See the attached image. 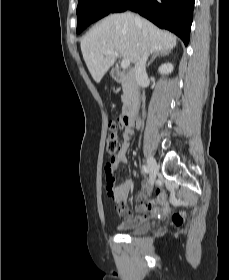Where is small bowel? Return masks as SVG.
<instances>
[{
	"instance_id": "small-bowel-1",
	"label": "small bowel",
	"mask_w": 229,
	"mask_h": 280,
	"mask_svg": "<svg viewBox=\"0 0 229 280\" xmlns=\"http://www.w3.org/2000/svg\"><path fill=\"white\" fill-rule=\"evenodd\" d=\"M134 134L130 130H125L123 133L124 140L121 143V149L114 160V169L119 170L126 166V152L129 147V142L132 140ZM133 189V181L131 179L125 180L120 185H113L107 181L108 195L114 202L118 213L125 219L121 224V229H128L135 226L140 220L147 219L149 216H164L169 210L167 194L162 187L156 189V200H151L149 195V186L144 182L138 193V203L134 210L137 213L133 215L127 209V202L130 193Z\"/></svg>"
}]
</instances>
